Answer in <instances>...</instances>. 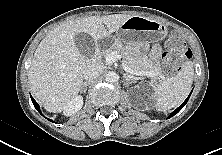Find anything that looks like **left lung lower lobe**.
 I'll return each mask as SVG.
<instances>
[{
	"label": "left lung lower lobe",
	"instance_id": "left-lung-lower-lobe-1",
	"mask_svg": "<svg viewBox=\"0 0 222 155\" xmlns=\"http://www.w3.org/2000/svg\"><path fill=\"white\" fill-rule=\"evenodd\" d=\"M190 95H191V93H190ZM190 95H189L188 98L184 101V103H183L182 105H180L175 111H173V112L168 116L167 119L173 117L175 114H177V113L184 107V105H185V104L187 103V101L189 100Z\"/></svg>",
	"mask_w": 222,
	"mask_h": 155
}]
</instances>
